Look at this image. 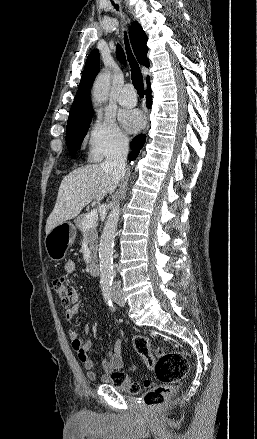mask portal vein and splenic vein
Instances as JSON below:
<instances>
[{"mask_svg":"<svg viewBox=\"0 0 257 439\" xmlns=\"http://www.w3.org/2000/svg\"><path fill=\"white\" fill-rule=\"evenodd\" d=\"M98 219L97 209L91 210L82 222L83 228H90Z\"/></svg>","mask_w":257,"mask_h":439,"instance_id":"18ae733b","label":"portal vein and splenic vein"}]
</instances>
